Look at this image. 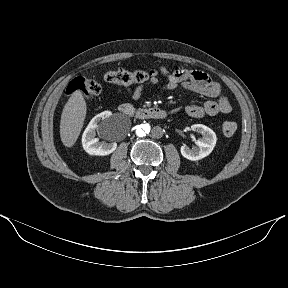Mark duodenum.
<instances>
[{
  "instance_id": "duodenum-1",
  "label": "duodenum",
  "mask_w": 288,
  "mask_h": 288,
  "mask_svg": "<svg viewBox=\"0 0 288 288\" xmlns=\"http://www.w3.org/2000/svg\"><path fill=\"white\" fill-rule=\"evenodd\" d=\"M119 111L128 117H134L140 120L164 119L168 113L159 107H148L135 109L132 105L125 103L120 105Z\"/></svg>"
}]
</instances>
